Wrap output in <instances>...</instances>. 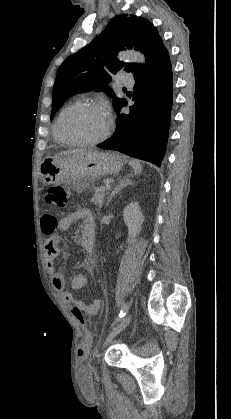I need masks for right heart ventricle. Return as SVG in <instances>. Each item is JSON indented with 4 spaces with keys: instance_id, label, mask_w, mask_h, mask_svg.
Instances as JSON below:
<instances>
[{
    "instance_id": "1",
    "label": "right heart ventricle",
    "mask_w": 231,
    "mask_h": 419,
    "mask_svg": "<svg viewBox=\"0 0 231 419\" xmlns=\"http://www.w3.org/2000/svg\"><path fill=\"white\" fill-rule=\"evenodd\" d=\"M79 103H83V98L79 97L74 99L72 102H70L69 104H67L65 107H63L61 109V111L58 113L55 124H54V128H53V134H54V139L56 142L61 143V144H69L66 140H64L62 138V136L59 133V129H58V123H59V119L62 116V114L69 109L70 107L79 104Z\"/></svg>"
}]
</instances>
